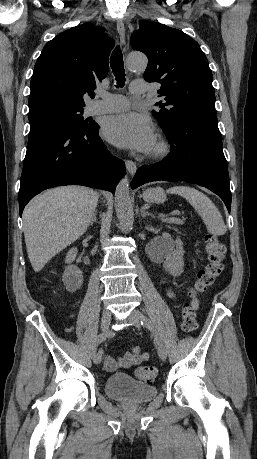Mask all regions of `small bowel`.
I'll list each match as a JSON object with an SVG mask.
<instances>
[{"instance_id": "c3829d8e", "label": "small bowel", "mask_w": 257, "mask_h": 459, "mask_svg": "<svg viewBox=\"0 0 257 459\" xmlns=\"http://www.w3.org/2000/svg\"><path fill=\"white\" fill-rule=\"evenodd\" d=\"M167 295L171 300L176 299V293L170 287L167 288ZM191 305L195 310L198 309L199 300L196 297H193ZM148 358L149 354L147 352H141V348L139 346H134L118 359H115L111 356H105V369L109 372H112L120 367L137 366L142 362L148 360Z\"/></svg>"}]
</instances>
